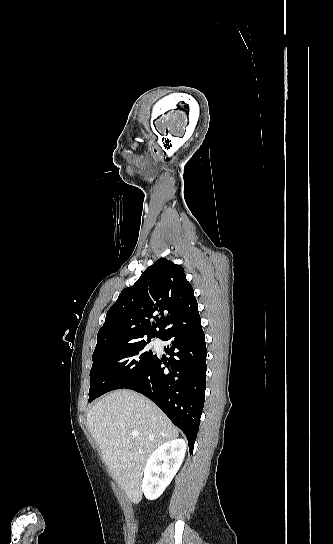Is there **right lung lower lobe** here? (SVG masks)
I'll return each mask as SVG.
<instances>
[{
    "instance_id": "1",
    "label": "right lung lower lobe",
    "mask_w": 333,
    "mask_h": 544,
    "mask_svg": "<svg viewBox=\"0 0 333 544\" xmlns=\"http://www.w3.org/2000/svg\"><path fill=\"white\" fill-rule=\"evenodd\" d=\"M160 339L171 340L165 349L170 357H156L141 376L123 388L151 399L184 432L192 453L205 401L207 370L199 314L172 326Z\"/></svg>"
}]
</instances>
